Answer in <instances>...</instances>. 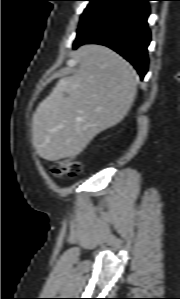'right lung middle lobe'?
<instances>
[{
  "mask_svg": "<svg viewBox=\"0 0 180 299\" xmlns=\"http://www.w3.org/2000/svg\"><path fill=\"white\" fill-rule=\"evenodd\" d=\"M90 3L87 5L86 9L84 10L80 21L88 17L91 13H93L99 6H101L107 0H87Z\"/></svg>",
  "mask_w": 180,
  "mask_h": 299,
  "instance_id": "right-lung-middle-lobe-1",
  "label": "right lung middle lobe"
}]
</instances>
